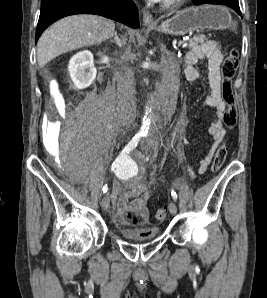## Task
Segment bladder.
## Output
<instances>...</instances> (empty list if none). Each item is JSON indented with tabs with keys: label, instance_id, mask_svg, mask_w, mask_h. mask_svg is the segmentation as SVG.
<instances>
[{
	"label": "bladder",
	"instance_id": "bladder-1",
	"mask_svg": "<svg viewBox=\"0 0 267 298\" xmlns=\"http://www.w3.org/2000/svg\"><path fill=\"white\" fill-rule=\"evenodd\" d=\"M121 238L133 242H145L156 238L159 234V228H152V233L146 236L139 235L137 231L129 228H120L118 230Z\"/></svg>",
	"mask_w": 267,
	"mask_h": 298
}]
</instances>
